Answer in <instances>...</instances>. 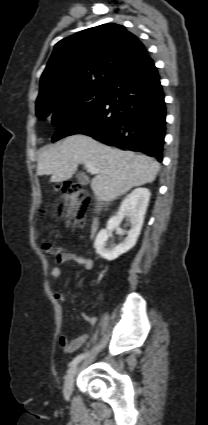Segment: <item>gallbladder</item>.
<instances>
[{"instance_id":"obj_1","label":"gallbladder","mask_w":208,"mask_h":425,"mask_svg":"<svg viewBox=\"0 0 208 425\" xmlns=\"http://www.w3.org/2000/svg\"><path fill=\"white\" fill-rule=\"evenodd\" d=\"M77 180H78V182H79L80 184H82V185H86V184H88V183H89V180H88L87 176H86L84 173H82V172H80V173L77 175Z\"/></svg>"}]
</instances>
